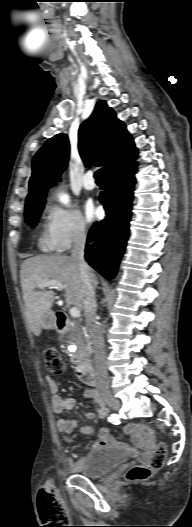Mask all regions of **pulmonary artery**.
Wrapping results in <instances>:
<instances>
[{
  "label": "pulmonary artery",
  "mask_w": 192,
  "mask_h": 527,
  "mask_svg": "<svg viewBox=\"0 0 192 527\" xmlns=\"http://www.w3.org/2000/svg\"><path fill=\"white\" fill-rule=\"evenodd\" d=\"M82 185L86 190H93L96 187L93 176L91 172L85 174L82 180Z\"/></svg>",
  "instance_id": "1"
}]
</instances>
